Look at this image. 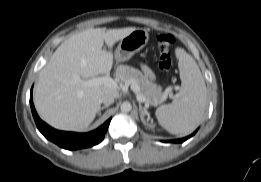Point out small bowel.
Returning <instances> with one entry per match:
<instances>
[{
	"mask_svg": "<svg viewBox=\"0 0 261 182\" xmlns=\"http://www.w3.org/2000/svg\"><path fill=\"white\" fill-rule=\"evenodd\" d=\"M142 70H143L144 74H145L149 79H151V80L154 79V74H153V72L151 71V69H150L148 66L143 65V66H142Z\"/></svg>",
	"mask_w": 261,
	"mask_h": 182,
	"instance_id": "1",
	"label": "small bowel"
}]
</instances>
